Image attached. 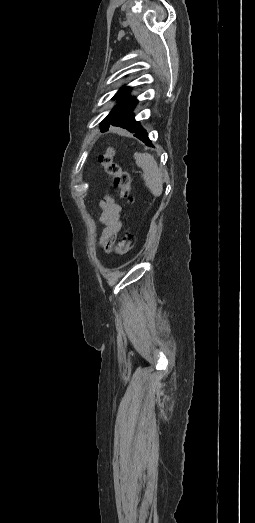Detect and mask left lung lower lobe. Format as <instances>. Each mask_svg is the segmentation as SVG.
Instances as JSON below:
<instances>
[{
	"label": "left lung lower lobe",
	"instance_id": "left-lung-lower-lobe-1",
	"mask_svg": "<svg viewBox=\"0 0 255 523\" xmlns=\"http://www.w3.org/2000/svg\"><path fill=\"white\" fill-rule=\"evenodd\" d=\"M152 137H155V134H152ZM136 140H143L142 144L144 146H150L152 144L150 134H139V137H136Z\"/></svg>",
	"mask_w": 255,
	"mask_h": 523
}]
</instances>
